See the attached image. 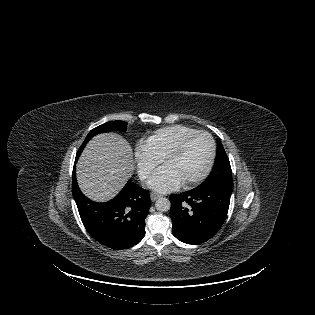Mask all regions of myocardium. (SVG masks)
I'll return each mask as SVG.
<instances>
[{"label":"myocardium","instance_id":"myocardium-1","mask_svg":"<svg viewBox=\"0 0 315 315\" xmlns=\"http://www.w3.org/2000/svg\"><path fill=\"white\" fill-rule=\"evenodd\" d=\"M197 135H204L208 138L209 143H210V153H209V158L208 161L206 163L205 168L203 169V171L196 177L189 179L187 181H184L183 184L186 186H191V185H195L197 183L202 182L210 173L214 160H215V155H216V145H215V141L213 139V137L211 136V134H209L206 131L203 130H196L195 132H192L186 136H184L182 139H180L177 144L170 150L168 151V153L164 156L163 158V162L166 164L168 162V160L176 157L177 155H179L183 149L185 148L186 144L195 136Z\"/></svg>","mask_w":315,"mask_h":315}]
</instances>
